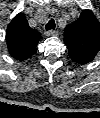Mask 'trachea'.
Wrapping results in <instances>:
<instances>
[{"label":"trachea","instance_id":"obj_1","mask_svg":"<svg viewBox=\"0 0 100 118\" xmlns=\"http://www.w3.org/2000/svg\"><path fill=\"white\" fill-rule=\"evenodd\" d=\"M45 29L48 30H54L55 29V21L51 19L45 26Z\"/></svg>","mask_w":100,"mask_h":118}]
</instances>
